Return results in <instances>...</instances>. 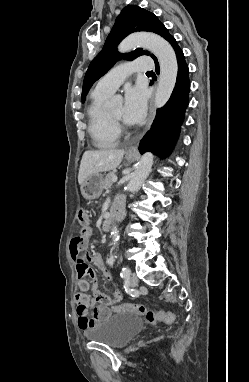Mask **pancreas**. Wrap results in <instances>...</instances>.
Listing matches in <instances>:
<instances>
[{
    "mask_svg": "<svg viewBox=\"0 0 249 382\" xmlns=\"http://www.w3.org/2000/svg\"><path fill=\"white\" fill-rule=\"evenodd\" d=\"M116 176L115 172L112 171V172H109L105 179L103 180L102 182V186H103V189H109L111 188L112 184H113V181H112V178Z\"/></svg>",
    "mask_w": 249,
    "mask_h": 382,
    "instance_id": "cf45deb5",
    "label": "pancreas"
}]
</instances>
